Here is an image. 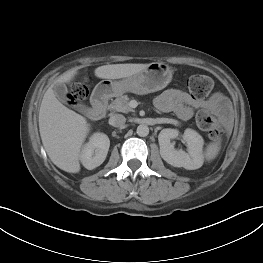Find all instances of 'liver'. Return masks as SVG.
Here are the masks:
<instances>
[{"mask_svg": "<svg viewBox=\"0 0 263 263\" xmlns=\"http://www.w3.org/2000/svg\"><path fill=\"white\" fill-rule=\"evenodd\" d=\"M148 64H112L97 67L95 76L102 79H120L132 76ZM77 71L61 75L45 92L39 110V131L43 146L51 161L69 173L80 171V153L90 131L86 118L64 106L57 98L53 87L69 83Z\"/></svg>", "mask_w": 263, "mask_h": 263, "instance_id": "obj_1", "label": "liver"}]
</instances>
